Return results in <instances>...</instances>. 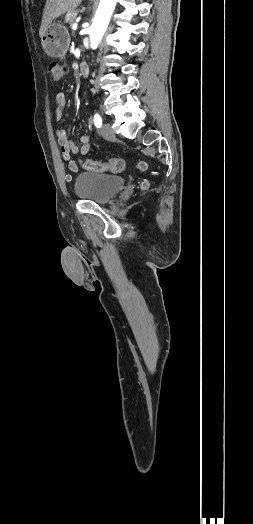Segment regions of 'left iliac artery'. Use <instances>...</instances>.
I'll use <instances>...</instances> for the list:
<instances>
[{
	"instance_id": "obj_1",
	"label": "left iliac artery",
	"mask_w": 253,
	"mask_h": 524,
	"mask_svg": "<svg viewBox=\"0 0 253 524\" xmlns=\"http://www.w3.org/2000/svg\"><path fill=\"white\" fill-rule=\"evenodd\" d=\"M94 124L97 128H100L102 126V118L97 113L94 115Z\"/></svg>"
}]
</instances>
